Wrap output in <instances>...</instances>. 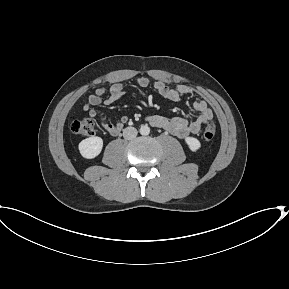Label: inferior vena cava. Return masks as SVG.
<instances>
[{"label":"inferior vena cava","instance_id":"602c4592","mask_svg":"<svg viewBox=\"0 0 289 289\" xmlns=\"http://www.w3.org/2000/svg\"><path fill=\"white\" fill-rule=\"evenodd\" d=\"M137 129L134 127H127L123 130V137L127 140H132L137 136Z\"/></svg>","mask_w":289,"mask_h":289}]
</instances>
